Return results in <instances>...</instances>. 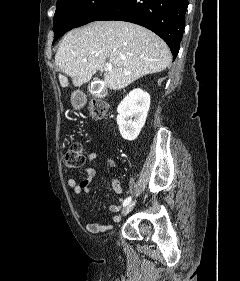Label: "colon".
Wrapping results in <instances>:
<instances>
[{"instance_id": "5ec220e1", "label": "colon", "mask_w": 240, "mask_h": 281, "mask_svg": "<svg viewBox=\"0 0 240 281\" xmlns=\"http://www.w3.org/2000/svg\"><path fill=\"white\" fill-rule=\"evenodd\" d=\"M106 109V104L100 100L93 101L89 106V112L95 118H102ZM64 164L70 169L80 168L85 164L84 150L79 142H73L69 145L64 156Z\"/></svg>"}]
</instances>
